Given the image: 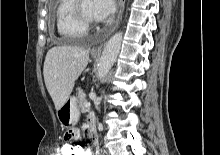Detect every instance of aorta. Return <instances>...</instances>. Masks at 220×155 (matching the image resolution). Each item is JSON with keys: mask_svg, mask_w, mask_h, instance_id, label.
Segmentation results:
<instances>
[{"mask_svg": "<svg viewBox=\"0 0 220 155\" xmlns=\"http://www.w3.org/2000/svg\"><path fill=\"white\" fill-rule=\"evenodd\" d=\"M123 34L118 32L107 42L98 64L97 77L102 80L113 66L121 48Z\"/></svg>", "mask_w": 220, "mask_h": 155, "instance_id": "obj_1", "label": "aorta"}]
</instances>
